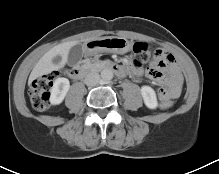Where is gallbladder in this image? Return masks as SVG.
<instances>
[{
    "label": "gallbladder",
    "mask_w": 219,
    "mask_h": 174,
    "mask_svg": "<svg viewBox=\"0 0 219 174\" xmlns=\"http://www.w3.org/2000/svg\"><path fill=\"white\" fill-rule=\"evenodd\" d=\"M83 53H84V50H83V46L82 45H80V44L74 45L69 50L68 58H67V63L70 66L77 65L81 61V59L83 57Z\"/></svg>",
    "instance_id": "1"
}]
</instances>
